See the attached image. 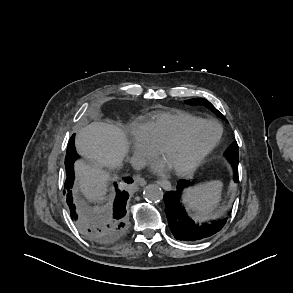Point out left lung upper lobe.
Instances as JSON below:
<instances>
[{"label": "left lung upper lobe", "mask_w": 293, "mask_h": 293, "mask_svg": "<svg viewBox=\"0 0 293 293\" xmlns=\"http://www.w3.org/2000/svg\"><path fill=\"white\" fill-rule=\"evenodd\" d=\"M187 103L190 104V105H204L207 108H209L211 111L216 113L219 117L225 119V117L206 99H203V98L190 99V100L187 101ZM226 156L233 164L238 163L239 149H238V144H237L236 141H234L227 148Z\"/></svg>", "instance_id": "left-lung-upper-lobe-1"}]
</instances>
